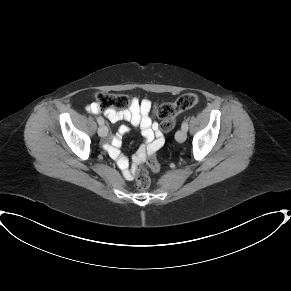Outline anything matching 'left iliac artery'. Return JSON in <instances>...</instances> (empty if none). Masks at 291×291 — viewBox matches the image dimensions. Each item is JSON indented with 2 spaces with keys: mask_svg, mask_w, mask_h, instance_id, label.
Returning a JSON list of instances; mask_svg holds the SVG:
<instances>
[{
  "mask_svg": "<svg viewBox=\"0 0 291 291\" xmlns=\"http://www.w3.org/2000/svg\"><path fill=\"white\" fill-rule=\"evenodd\" d=\"M181 128H182L184 131H187V130H188V123H187V121H184V122L182 123Z\"/></svg>",
  "mask_w": 291,
  "mask_h": 291,
  "instance_id": "left-iliac-artery-1",
  "label": "left iliac artery"
}]
</instances>
